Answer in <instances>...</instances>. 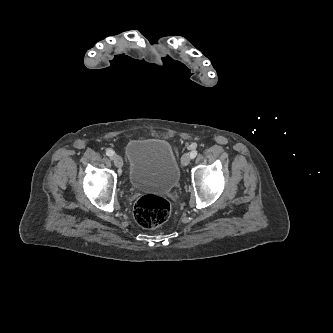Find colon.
Returning <instances> with one entry per match:
<instances>
[{
    "label": "colon",
    "instance_id": "obj_1",
    "mask_svg": "<svg viewBox=\"0 0 333 333\" xmlns=\"http://www.w3.org/2000/svg\"><path fill=\"white\" fill-rule=\"evenodd\" d=\"M170 214V204L162 196L147 194L139 198L134 209L137 223L146 229L165 223Z\"/></svg>",
    "mask_w": 333,
    "mask_h": 333
}]
</instances>
